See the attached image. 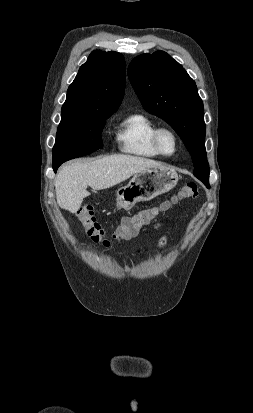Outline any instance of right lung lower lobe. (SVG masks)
I'll return each mask as SVG.
<instances>
[{"label": "right lung lower lobe", "mask_w": 253, "mask_h": 413, "mask_svg": "<svg viewBox=\"0 0 253 413\" xmlns=\"http://www.w3.org/2000/svg\"><path fill=\"white\" fill-rule=\"evenodd\" d=\"M60 165H61V164L53 165V170H54V172L57 171V169H58V167H59Z\"/></svg>", "instance_id": "right-lung-lower-lobe-1"}]
</instances>
